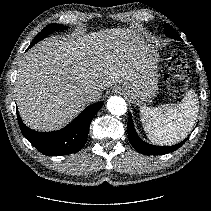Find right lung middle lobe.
Instances as JSON below:
<instances>
[{
	"mask_svg": "<svg viewBox=\"0 0 211 211\" xmlns=\"http://www.w3.org/2000/svg\"><path fill=\"white\" fill-rule=\"evenodd\" d=\"M67 27L60 25V24H50L46 26L31 42L30 46L28 47L31 48L34 44H36L38 41L42 40L45 36L49 35L51 32L56 31V30H66Z\"/></svg>",
	"mask_w": 211,
	"mask_h": 211,
	"instance_id": "right-lung-middle-lobe-1",
	"label": "right lung middle lobe"
}]
</instances>
